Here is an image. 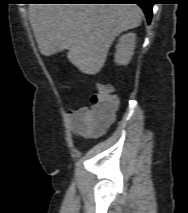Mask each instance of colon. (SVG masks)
<instances>
[{
	"mask_svg": "<svg viewBox=\"0 0 188 213\" xmlns=\"http://www.w3.org/2000/svg\"><path fill=\"white\" fill-rule=\"evenodd\" d=\"M89 116L95 127H99L110 121L117 108L118 99L113 94V89L108 84H98L96 92L92 94Z\"/></svg>",
	"mask_w": 188,
	"mask_h": 213,
	"instance_id": "5ec220e1",
	"label": "colon"
}]
</instances>
